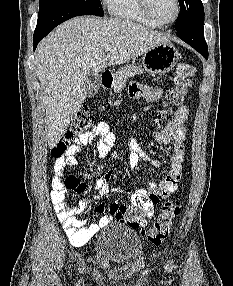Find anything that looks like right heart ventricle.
Wrapping results in <instances>:
<instances>
[{
	"label": "right heart ventricle",
	"mask_w": 233,
	"mask_h": 286,
	"mask_svg": "<svg viewBox=\"0 0 233 286\" xmlns=\"http://www.w3.org/2000/svg\"><path fill=\"white\" fill-rule=\"evenodd\" d=\"M105 3L114 17L154 27L143 13L139 0H106Z\"/></svg>",
	"instance_id": "obj_1"
}]
</instances>
